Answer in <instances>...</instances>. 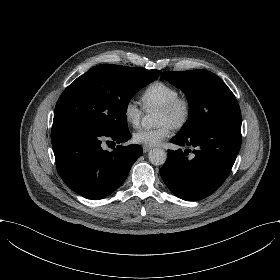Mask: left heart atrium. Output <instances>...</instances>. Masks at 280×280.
I'll return each instance as SVG.
<instances>
[{
    "mask_svg": "<svg viewBox=\"0 0 280 280\" xmlns=\"http://www.w3.org/2000/svg\"><path fill=\"white\" fill-rule=\"evenodd\" d=\"M173 128V125L167 121L152 128H138L132 133V140L138 145L156 146L162 140L170 137Z\"/></svg>",
    "mask_w": 280,
    "mask_h": 280,
    "instance_id": "39dd6f15",
    "label": "left heart atrium"
}]
</instances>
